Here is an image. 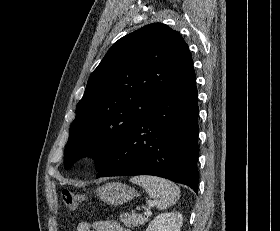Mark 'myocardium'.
I'll use <instances>...</instances> for the list:
<instances>
[{"label":"myocardium","mask_w":280,"mask_h":231,"mask_svg":"<svg viewBox=\"0 0 280 231\" xmlns=\"http://www.w3.org/2000/svg\"><path fill=\"white\" fill-rule=\"evenodd\" d=\"M107 151L108 147L105 144H92L84 150L82 154L83 162L86 165H94L106 155Z\"/></svg>","instance_id":"obj_1"}]
</instances>
